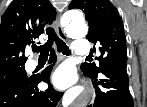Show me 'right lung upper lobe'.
<instances>
[{"instance_id":"right-lung-upper-lobe-1","label":"right lung upper lobe","mask_w":147,"mask_h":107,"mask_svg":"<svg viewBox=\"0 0 147 107\" xmlns=\"http://www.w3.org/2000/svg\"><path fill=\"white\" fill-rule=\"evenodd\" d=\"M56 11L48 0H13L0 25V69L24 65L25 48L44 32Z\"/></svg>"}]
</instances>
